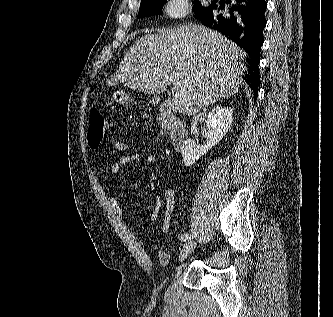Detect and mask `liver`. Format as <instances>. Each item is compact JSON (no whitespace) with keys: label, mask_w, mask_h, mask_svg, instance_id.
<instances>
[{"label":"liver","mask_w":333,"mask_h":317,"mask_svg":"<svg viewBox=\"0 0 333 317\" xmlns=\"http://www.w3.org/2000/svg\"><path fill=\"white\" fill-rule=\"evenodd\" d=\"M244 56L234 42L200 25L158 29L138 39L109 84L160 94L171 83L182 96L179 111L194 115L243 84Z\"/></svg>","instance_id":"obj_1"}]
</instances>
